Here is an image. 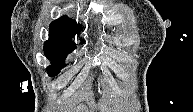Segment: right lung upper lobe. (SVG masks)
Listing matches in <instances>:
<instances>
[{
	"mask_svg": "<svg viewBox=\"0 0 193 112\" xmlns=\"http://www.w3.org/2000/svg\"><path fill=\"white\" fill-rule=\"evenodd\" d=\"M82 26L76 21L64 16L53 22L49 26L50 40L55 42H70V38L78 34Z\"/></svg>",
	"mask_w": 193,
	"mask_h": 112,
	"instance_id": "obj_1",
	"label": "right lung upper lobe"
}]
</instances>
